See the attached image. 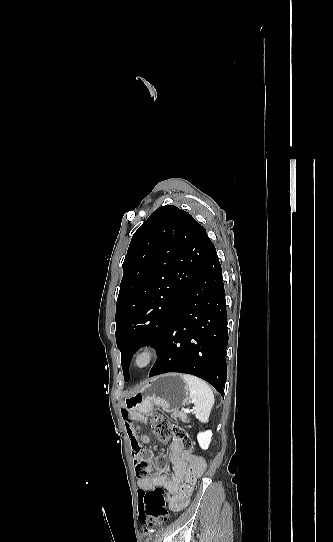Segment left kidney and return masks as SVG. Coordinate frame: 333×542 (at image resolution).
I'll return each mask as SVG.
<instances>
[{
  "mask_svg": "<svg viewBox=\"0 0 333 542\" xmlns=\"http://www.w3.org/2000/svg\"><path fill=\"white\" fill-rule=\"evenodd\" d=\"M211 438H212L211 430H207V432H200V434H198L197 440L202 450H208L209 444L211 442Z\"/></svg>",
  "mask_w": 333,
  "mask_h": 542,
  "instance_id": "obj_1",
  "label": "left kidney"
}]
</instances>
